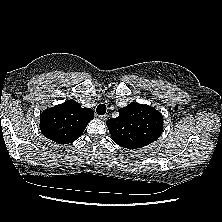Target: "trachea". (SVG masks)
Segmentation results:
<instances>
[{
    "instance_id": "obj_1",
    "label": "trachea",
    "mask_w": 222,
    "mask_h": 222,
    "mask_svg": "<svg viewBox=\"0 0 222 222\" xmlns=\"http://www.w3.org/2000/svg\"><path fill=\"white\" fill-rule=\"evenodd\" d=\"M98 115H104L106 113V106L104 104H99L96 108Z\"/></svg>"
}]
</instances>
